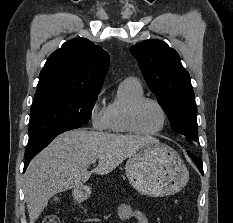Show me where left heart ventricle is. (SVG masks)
<instances>
[{"instance_id":"left-heart-ventricle-1","label":"left heart ventricle","mask_w":233,"mask_h":223,"mask_svg":"<svg viewBox=\"0 0 233 223\" xmlns=\"http://www.w3.org/2000/svg\"><path fill=\"white\" fill-rule=\"evenodd\" d=\"M164 123L161 110L152 102L142 105L138 113V125L146 133L158 131Z\"/></svg>"}]
</instances>
